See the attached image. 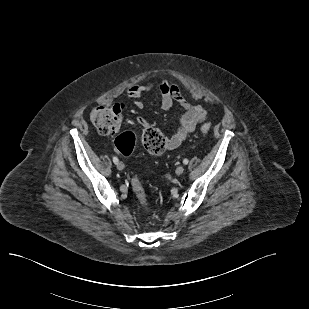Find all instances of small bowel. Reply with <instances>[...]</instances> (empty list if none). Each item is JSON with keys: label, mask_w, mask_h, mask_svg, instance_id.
<instances>
[{"label": "small bowel", "mask_w": 309, "mask_h": 309, "mask_svg": "<svg viewBox=\"0 0 309 309\" xmlns=\"http://www.w3.org/2000/svg\"><path fill=\"white\" fill-rule=\"evenodd\" d=\"M157 90L161 95V107L169 110L175 105L180 106L182 113L178 118V127L174 135L166 139L165 149L172 150L184 142L198 125L207 118V111L201 105L188 103L181 95L178 85L168 79L147 80L143 84L132 85L127 89V96L134 101L137 108L142 109L144 103L142 96L150 91ZM141 127L148 126L143 117L138 118Z\"/></svg>", "instance_id": "small-bowel-1"}]
</instances>
